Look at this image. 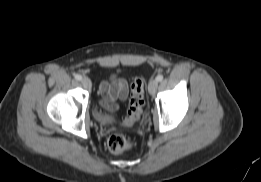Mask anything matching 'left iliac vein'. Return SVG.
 <instances>
[{"label":"left iliac vein","instance_id":"4c4485c4","mask_svg":"<svg viewBox=\"0 0 261 182\" xmlns=\"http://www.w3.org/2000/svg\"><path fill=\"white\" fill-rule=\"evenodd\" d=\"M158 88V81L157 79H152L150 82H149V85H148V91L151 95H154L156 93V90Z\"/></svg>","mask_w":261,"mask_h":182}]
</instances>
